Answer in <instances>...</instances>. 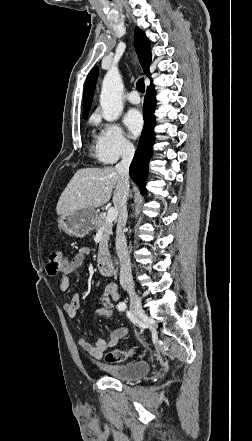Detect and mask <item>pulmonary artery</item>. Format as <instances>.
<instances>
[{
  "instance_id": "obj_1",
  "label": "pulmonary artery",
  "mask_w": 252,
  "mask_h": 441,
  "mask_svg": "<svg viewBox=\"0 0 252 441\" xmlns=\"http://www.w3.org/2000/svg\"><path fill=\"white\" fill-rule=\"evenodd\" d=\"M127 100L131 104H138L140 103V97L136 91H132L127 95Z\"/></svg>"
}]
</instances>
